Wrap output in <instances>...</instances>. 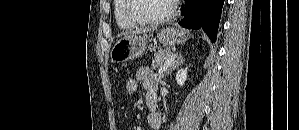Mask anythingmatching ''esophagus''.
<instances>
[{"label": "esophagus", "instance_id": "esophagus-1", "mask_svg": "<svg viewBox=\"0 0 299 130\" xmlns=\"http://www.w3.org/2000/svg\"><path fill=\"white\" fill-rule=\"evenodd\" d=\"M183 17V15H182V13L180 12V14H179V18L181 19Z\"/></svg>", "mask_w": 299, "mask_h": 130}]
</instances>
